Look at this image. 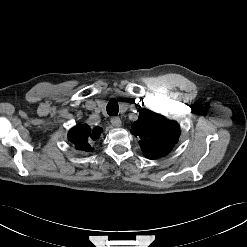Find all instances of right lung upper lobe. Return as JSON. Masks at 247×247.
<instances>
[{"label": "right lung upper lobe", "instance_id": "cb5924a9", "mask_svg": "<svg viewBox=\"0 0 247 247\" xmlns=\"http://www.w3.org/2000/svg\"><path fill=\"white\" fill-rule=\"evenodd\" d=\"M101 132L102 129L99 127L91 130L87 125H78L69 131L68 138L73 144H75L76 149L89 152L93 150L89 141L96 140L100 136Z\"/></svg>", "mask_w": 247, "mask_h": 247}]
</instances>
